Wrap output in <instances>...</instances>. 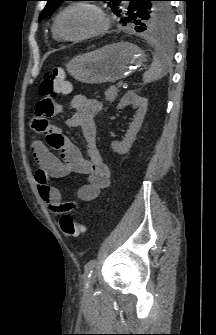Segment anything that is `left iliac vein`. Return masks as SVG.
<instances>
[{
    "label": "left iliac vein",
    "mask_w": 216,
    "mask_h": 335,
    "mask_svg": "<svg viewBox=\"0 0 216 335\" xmlns=\"http://www.w3.org/2000/svg\"><path fill=\"white\" fill-rule=\"evenodd\" d=\"M95 282V276L94 274L89 278L88 282H87V286H86V290L87 292H91L93 289V284Z\"/></svg>",
    "instance_id": "left-iliac-vein-1"
}]
</instances>
